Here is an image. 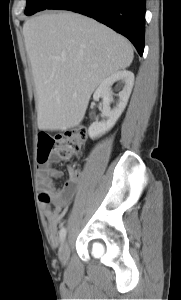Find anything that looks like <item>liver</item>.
Instances as JSON below:
<instances>
[{
	"label": "liver",
	"instance_id": "6515ba94",
	"mask_svg": "<svg viewBox=\"0 0 181 300\" xmlns=\"http://www.w3.org/2000/svg\"><path fill=\"white\" fill-rule=\"evenodd\" d=\"M23 35L38 97L40 130L79 125L97 86L129 67L134 57L125 37L68 11L46 12L27 20Z\"/></svg>",
	"mask_w": 181,
	"mask_h": 300
}]
</instances>
